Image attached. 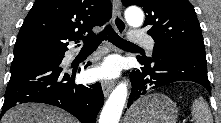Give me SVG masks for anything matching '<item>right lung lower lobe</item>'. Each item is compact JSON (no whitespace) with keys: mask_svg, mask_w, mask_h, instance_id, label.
I'll return each instance as SVG.
<instances>
[{"mask_svg":"<svg viewBox=\"0 0 221 123\" xmlns=\"http://www.w3.org/2000/svg\"><path fill=\"white\" fill-rule=\"evenodd\" d=\"M61 61L11 68L2 110L19 103L39 102L58 106L73 114L81 123H95L104 101L100 83L76 85L73 80L77 70H73L72 74L65 73L59 66Z\"/></svg>","mask_w":221,"mask_h":123,"instance_id":"right-lung-lower-lobe-1","label":"right lung lower lobe"}]
</instances>
